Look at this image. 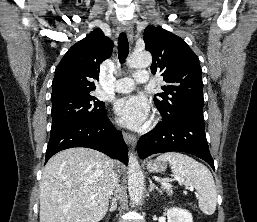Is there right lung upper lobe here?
<instances>
[{"instance_id": "right-lung-upper-lobe-1", "label": "right lung upper lobe", "mask_w": 257, "mask_h": 222, "mask_svg": "<svg viewBox=\"0 0 257 222\" xmlns=\"http://www.w3.org/2000/svg\"><path fill=\"white\" fill-rule=\"evenodd\" d=\"M113 42L96 28L74 44L55 69L51 100L91 95L100 64L110 57Z\"/></svg>"}]
</instances>
